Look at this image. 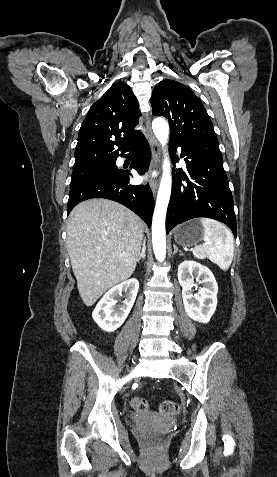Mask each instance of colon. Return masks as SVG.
<instances>
[{
  "label": "colon",
  "instance_id": "1",
  "mask_svg": "<svg viewBox=\"0 0 277 477\" xmlns=\"http://www.w3.org/2000/svg\"><path fill=\"white\" fill-rule=\"evenodd\" d=\"M132 407L135 411L145 413L149 410V402L142 397H135L132 402ZM179 410V405L171 400L163 401L159 406V411L164 415H173ZM152 442H158L157 437L152 438Z\"/></svg>",
  "mask_w": 277,
  "mask_h": 477
}]
</instances>
